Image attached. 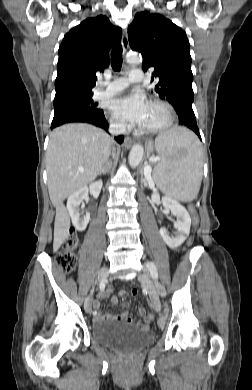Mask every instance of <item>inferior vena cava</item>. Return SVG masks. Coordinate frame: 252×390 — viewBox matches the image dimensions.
<instances>
[{"label": "inferior vena cava", "mask_w": 252, "mask_h": 390, "mask_svg": "<svg viewBox=\"0 0 252 390\" xmlns=\"http://www.w3.org/2000/svg\"><path fill=\"white\" fill-rule=\"evenodd\" d=\"M109 132L112 135H120L126 132V125L124 123H111L109 126Z\"/></svg>", "instance_id": "obj_1"}]
</instances>
